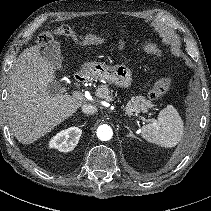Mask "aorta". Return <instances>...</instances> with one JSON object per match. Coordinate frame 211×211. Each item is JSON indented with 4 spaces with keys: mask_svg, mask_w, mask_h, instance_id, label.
<instances>
[{
    "mask_svg": "<svg viewBox=\"0 0 211 211\" xmlns=\"http://www.w3.org/2000/svg\"><path fill=\"white\" fill-rule=\"evenodd\" d=\"M113 131L109 125L103 124L97 128V137L102 141H108L112 138Z\"/></svg>",
    "mask_w": 211,
    "mask_h": 211,
    "instance_id": "obj_1",
    "label": "aorta"
}]
</instances>
